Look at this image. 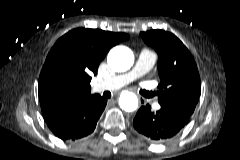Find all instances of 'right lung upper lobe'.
Returning <instances> with one entry per match:
<instances>
[{"mask_svg":"<svg viewBox=\"0 0 240 160\" xmlns=\"http://www.w3.org/2000/svg\"><path fill=\"white\" fill-rule=\"evenodd\" d=\"M129 39L126 33L77 28L52 47L41 70L38 94L42 113H51L90 96L91 75L109 49Z\"/></svg>","mask_w":240,"mask_h":160,"instance_id":"1","label":"right lung upper lobe"}]
</instances>
